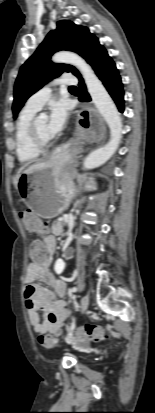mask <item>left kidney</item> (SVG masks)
I'll return each mask as SVG.
<instances>
[{
  "label": "left kidney",
  "mask_w": 155,
  "mask_h": 413,
  "mask_svg": "<svg viewBox=\"0 0 155 413\" xmlns=\"http://www.w3.org/2000/svg\"><path fill=\"white\" fill-rule=\"evenodd\" d=\"M64 269H65V263H64V261H63L62 259H58V260L55 262V265H54V270H55V272H56L57 274H61V273L64 271Z\"/></svg>",
  "instance_id": "left-kidney-1"
}]
</instances>
